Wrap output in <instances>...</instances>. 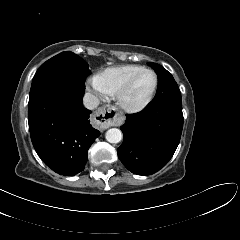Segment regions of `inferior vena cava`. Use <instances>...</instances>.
<instances>
[{
	"label": "inferior vena cava",
	"mask_w": 240,
	"mask_h": 240,
	"mask_svg": "<svg viewBox=\"0 0 240 240\" xmlns=\"http://www.w3.org/2000/svg\"><path fill=\"white\" fill-rule=\"evenodd\" d=\"M100 101L98 99V97H96L95 95L91 94V93H86L83 97V104L84 107L92 110L98 107Z\"/></svg>",
	"instance_id": "602c4592"
}]
</instances>
